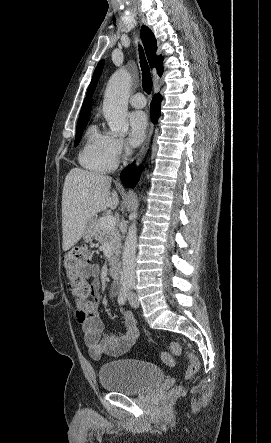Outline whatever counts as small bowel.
I'll use <instances>...</instances> for the list:
<instances>
[{
  "instance_id": "c3829d8e",
  "label": "small bowel",
  "mask_w": 271,
  "mask_h": 443,
  "mask_svg": "<svg viewBox=\"0 0 271 443\" xmlns=\"http://www.w3.org/2000/svg\"><path fill=\"white\" fill-rule=\"evenodd\" d=\"M86 279H91L93 289L92 304L93 309L88 311L85 304L76 299L77 319L81 324L84 340L89 349L92 358L100 359L107 356H121L125 354L135 343L138 338L137 322L134 315L128 311H121L125 323V332L122 335L114 333L105 334L103 323L97 313V305L100 299V277L101 266L99 264H91L83 270ZM118 293L117 285L110 288V295L115 297Z\"/></svg>"
}]
</instances>
